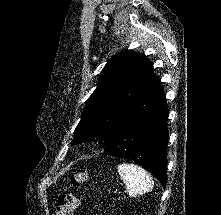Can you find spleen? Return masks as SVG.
Returning <instances> with one entry per match:
<instances>
[{
  "label": "spleen",
  "instance_id": "obj_1",
  "mask_svg": "<svg viewBox=\"0 0 221 215\" xmlns=\"http://www.w3.org/2000/svg\"><path fill=\"white\" fill-rule=\"evenodd\" d=\"M117 170L127 185L130 196L142 195L153 188V181L143 168L135 164L122 163L118 165Z\"/></svg>",
  "mask_w": 221,
  "mask_h": 215
}]
</instances>
